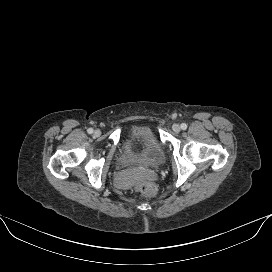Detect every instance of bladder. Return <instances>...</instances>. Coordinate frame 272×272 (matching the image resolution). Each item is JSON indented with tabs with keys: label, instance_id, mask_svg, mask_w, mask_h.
<instances>
[{
	"label": "bladder",
	"instance_id": "bladder-1",
	"mask_svg": "<svg viewBox=\"0 0 272 272\" xmlns=\"http://www.w3.org/2000/svg\"><path fill=\"white\" fill-rule=\"evenodd\" d=\"M135 141L141 143L138 150L135 148ZM164 160V150L148 125H137L131 128L119 144L116 153V163L122 168L161 164Z\"/></svg>",
	"mask_w": 272,
	"mask_h": 272
}]
</instances>
